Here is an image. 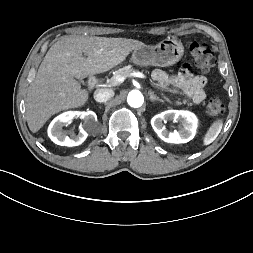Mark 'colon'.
I'll return each mask as SVG.
<instances>
[{"label":"colon","instance_id":"1","mask_svg":"<svg viewBox=\"0 0 253 253\" xmlns=\"http://www.w3.org/2000/svg\"><path fill=\"white\" fill-rule=\"evenodd\" d=\"M189 52L195 64L204 72L213 70L217 64L216 57L203 42L193 41L189 44ZM207 112L216 116L224 111V105L218 97H212L207 103Z\"/></svg>","mask_w":253,"mask_h":253}]
</instances>
